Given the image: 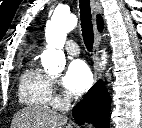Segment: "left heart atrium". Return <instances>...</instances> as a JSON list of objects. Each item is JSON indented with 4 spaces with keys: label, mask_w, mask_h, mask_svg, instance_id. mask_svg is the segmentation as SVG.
Listing matches in <instances>:
<instances>
[{
    "label": "left heart atrium",
    "mask_w": 142,
    "mask_h": 128,
    "mask_svg": "<svg viewBox=\"0 0 142 128\" xmlns=\"http://www.w3.org/2000/svg\"><path fill=\"white\" fill-rule=\"evenodd\" d=\"M92 74L88 65L82 60L69 63L62 78L66 90L74 95L85 92L92 84Z\"/></svg>",
    "instance_id": "39dd6f15"
}]
</instances>
